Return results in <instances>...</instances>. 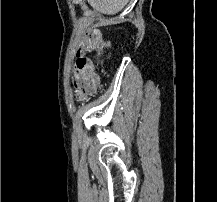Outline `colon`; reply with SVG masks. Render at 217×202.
Here are the masks:
<instances>
[{
	"instance_id": "5ec220e1",
	"label": "colon",
	"mask_w": 217,
	"mask_h": 202,
	"mask_svg": "<svg viewBox=\"0 0 217 202\" xmlns=\"http://www.w3.org/2000/svg\"><path fill=\"white\" fill-rule=\"evenodd\" d=\"M86 41H89L86 46ZM110 41L102 40L101 34L93 32L90 36H83L81 46H86L89 51L97 50L102 51L103 47L109 46ZM87 49H78V54H87ZM73 63L76 64V68L70 70V75H73V82H76V86L72 87L73 91H79L82 99L87 96H92L96 91H100L99 75L93 71V63L91 59L84 58L83 55H76Z\"/></svg>"
}]
</instances>
